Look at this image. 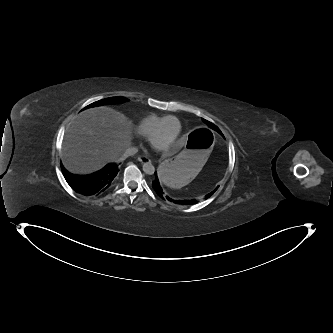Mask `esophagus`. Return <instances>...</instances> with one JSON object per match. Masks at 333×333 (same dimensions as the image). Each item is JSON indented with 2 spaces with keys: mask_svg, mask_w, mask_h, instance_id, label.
Returning <instances> with one entry per match:
<instances>
[{
  "mask_svg": "<svg viewBox=\"0 0 333 333\" xmlns=\"http://www.w3.org/2000/svg\"><path fill=\"white\" fill-rule=\"evenodd\" d=\"M137 160L140 161L141 163H144V164L150 162V159L145 155L138 156Z\"/></svg>",
  "mask_w": 333,
  "mask_h": 333,
  "instance_id": "34e87169",
  "label": "esophagus"
}]
</instances>
